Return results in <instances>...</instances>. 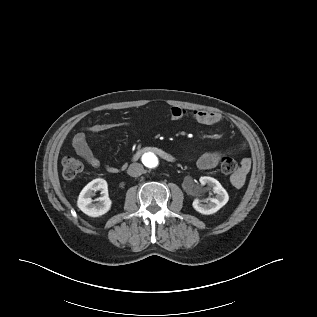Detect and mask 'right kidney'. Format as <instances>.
Wrapping results in <instances>:
<instances>
[{
  "mask_svg": "<svg viewBox=\"0 0 317 317\" xmlns=\"http://www.w3.org/2000/svg\"><path fill=\"white\" fill-rule=\"evenodd\" d=\"M101 191L102 196L97 199L98 202L92 203L91 196L94 192ZM112 201L108 195V184L106 180L97 178L89 182L80 192L77 206L86 215L99 217L107 213L111 208Z\"/></svg>",
  "mask_w": 317,
  "mask_h": 317,
  "instance_id": "ca27d5eb",
  "label": "right kidney"
}]
</instances>
